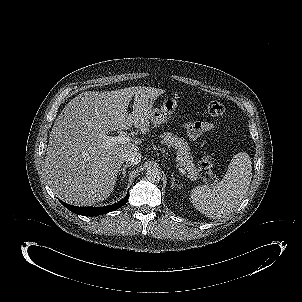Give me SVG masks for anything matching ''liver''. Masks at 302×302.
Returning a JSON list of instances; mask_svg holds the SVG:
<instances>
[{
    "mask_svg": "<svg viewBox=\"0 0 302 302\" xmlns=\"http://www.w3.org/2000/svg\"><path fill=\"white\" fill-rule=\"evenodd\" d=\"M147 92V93H145ZM163 93L137 87L115 91H86L73 98L54 122L44 168L53 192L76 206L107 199L114 189L123 155L139 150L133 142L105 147L109 132L149 131L152 99ZM134 98L133 112L127 111Z\"/></svg>",
    "mask_w": 302,
    "mask_h": 302,
    "instance_id": "obj_1",
    "label": "liver"
}]
</instances>
